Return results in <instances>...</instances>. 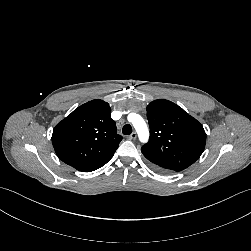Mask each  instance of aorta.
<instances>
[{"label": "aorta", "mask_w": 251, "mask_h": 251, "mask_svg": "<svg viewBox=\"0 0 251 251\" xmlns=\"http://www.w3.org/2000/svg\"><path fill=\"white\" fill-rule=\"evenodd\" d=\"M132 124L141 142L146 143L149 138V130L144 119L138 114H132Z\"/></svg>", "instance_id": "1"}]
</instances>
